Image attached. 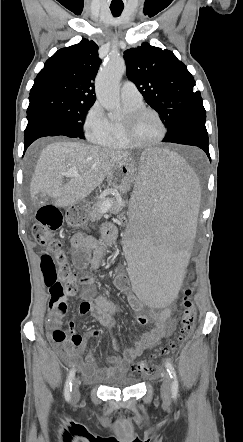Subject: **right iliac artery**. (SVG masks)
I'll return each instance as SVG.
<instances>
[{"label":"right iliac artery","instance_id":"obj_1","mask_svg":"<svg viewBox=\"0 0 243 442\" xmlns=\"http://www.w3.org/2000/svg\"><path fill=\"white\" fill-rule=\"evenodd\" d=\"M74 376H75V370L72 369L68 374L64 387V396L67 401L71 400L72 382L74 380Z\"/></svg>","mask_w":243,"mask_h":442}]
</instances>
